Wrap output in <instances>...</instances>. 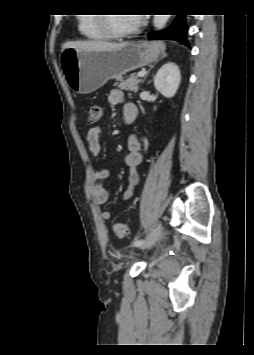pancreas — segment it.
Masks as SVG:
<instances>
[{"label": "pancreas", "instance_id": "cf45deb5", "mask_svg": "<svg viewBox=\"0 0 254 355\" xmlns=\"http://www.w3.org/2000/svg\"><path fill=\"white\" fill-rule=\"evenodd\" d=\"M116 82L114 86H117L118 88L122 90H126L129 92H134L137 93L138 91V86L141 80L138 78L137 75H131L130 78L123 80L121 77H116Z\"/></svg>", "mask_w": 254, "mask_h": 355}]
</instances>
